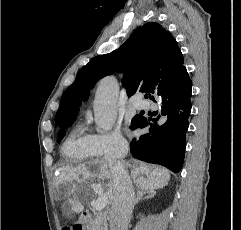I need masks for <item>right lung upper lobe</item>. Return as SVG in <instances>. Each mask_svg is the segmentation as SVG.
<instances>
[{"label": "right lung upper lobe", "mask_w": 241, "mask_h": 230, "mask_svg": "<svg viewBox=\"0 0 241 230\" xmlns=\"http://www.w3.org/2000/svg\"><path fill=\"white\" fill-rule=\"evenodd\" d=\"M183 62V55L171 33L158 23H146L138 27L119 49L94 57L78 71L75 82L61 98L55 122L63 127L70 126L81 98L86 100L89 90L106 75L124 72L122 83L128 96L136 92H148L150 96L159 82Z\"/></svg>", "instance_id": "obj_1"}]
</instances>
